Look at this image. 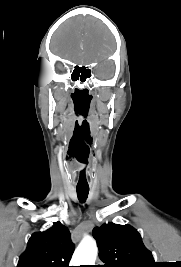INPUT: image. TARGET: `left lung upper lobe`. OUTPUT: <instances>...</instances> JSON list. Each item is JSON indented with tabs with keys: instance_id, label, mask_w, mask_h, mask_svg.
<instances>
[{
	"instance_id": "obj_1",
	"label": "left lung upper lobe",
	"mask_w": 181,
	"mask_h": 267,
	"mask_svg": "<svg viewBox=\"0 0 181 267\" xmlns=\"http://www.w3.org/2000/svg\"><path fill=\"white\" fill-rule=\"evenodd\" d=\"M102 267H157L139 232L130 225L104 224L93 229Z\"/></svg>"
}]
</instances>
